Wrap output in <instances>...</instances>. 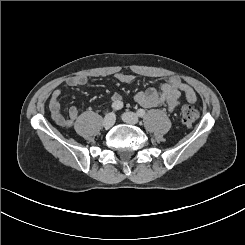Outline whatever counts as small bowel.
Segmentation results:
<instances>
[{"label": "small bowel", "instance_id": "c3829d8e", "mask_svg": "<svg viewBox=\"0 0 245 245\" xmlns=\"http://www.w3.org/2000/svg\"><path fill=\"white\" fill-rule=\"evenodd\" d=\"M115 77L121 83H130L134 80V76L127 73H117ZM66 83L70 87H82L87 83V78L85 76H72L66 80ZM182 93H184L188 102H196L197 96L194 90L179 77L172 76L161 85L159 90L153 87L141 90L135 94L134 99L142 107L166 106L172 112L180 104ZM60 97L61 90L55 89L49 101L51 118L61 127H72L78 118V111L75 107H70L67 114L63 115L61 113ZM119 101H121V95L118 93L112 94V104Z\"/></svg>", "mask_w": 245, "mask_h": 245}]
</instances>
